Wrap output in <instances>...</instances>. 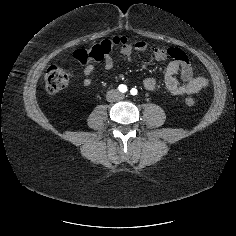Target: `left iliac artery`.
Instances as JSON below:
<instances>
[{"instance_id":"obj_1","label":"left iliac artery","mask_w":236,"mask_h":236,"mask_svg":"<svg viewBox=\"0 0 236 236\" xmlns=\"http://www.w3.org/2000/svg\"><path fill=\"white\" fill-rule=\"evenodd\" d=\"M130 93H131V95L135 96V95H137L138 91H137L136 88H132V89L130 90Z\"/></svg>"}]
</instances>
